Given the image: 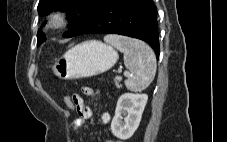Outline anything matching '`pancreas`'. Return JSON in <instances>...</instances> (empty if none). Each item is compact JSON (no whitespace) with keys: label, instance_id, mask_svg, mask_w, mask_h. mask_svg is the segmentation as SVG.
<instances>
[{"label":"pancreas","instance_id":"cf45deb5","mask_svg":"<svg viewBox=\"0 0 227 142\" xmlns=\"http://www.w3.org/2000/svg\"><path fill=\"white\" fill-rule=\"evenodd\" d=\"M121 80H122V78L120 76H117L115 78V84H116V86H119V83H120Z\"/></svg>","mask_w":227,"mask_h":142}]
</instances>
